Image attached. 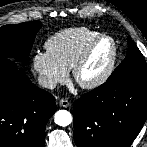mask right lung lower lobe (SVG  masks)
I'll list each match as a JSON object with an SVG mask.
<instances>
[{
    "instance_id": "98d812e1",
    "label": "right lung lower lobe",
    "mask_w": 147,
    "mask_h": 147,
    "mask_svg": "<svg viewBox=\"0 0 147 147\" xmlns=\"http://www.w3.org/2000/svg\"><path fill=\"white\" fill-rule=\"evenodd\" d=\"M55 111L53 95L34 85L16 63L0 59V147H43Z\"/></svg>"
}]
</instances>
